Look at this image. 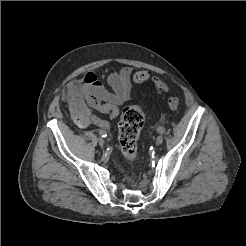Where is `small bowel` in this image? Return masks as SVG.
Instances as JSON below:
<instances>
[{
  "mask_svg": "<svg viewBox=\"0 0 246 246\" xmlns=\"http://www.w3.org/2000/svg\"><path fill=\"white\" fill-rule=\"evenodd\" d=\"M107 82L111 90H107L94 73L88 72L67 86L66 99L77 126L108 129L110 122L96 116L94 111L108 114L113 120L119 115V107L131 99L130 68L110 73Z\"/></svg>",
  "mask_w": 246,
  "mask_h": 246,
  "instance_id": "c3829d8e",
  "label": "small bowel"
}]
</instances>
